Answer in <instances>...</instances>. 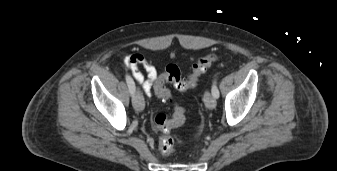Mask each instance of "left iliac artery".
I'll return each instance as SVG.
<instances>
[{"mask_svg": "<svg viewBox=\"0 0 337 171\" xmlns=\"http://www.w3.org/2000/svg\"><path fill=\"white\" fill-rule=\"evenodd\" d=\"M211 92H212V95L214 96V98H219V90L217 88L216 79L213 81Z\"/></svg>", "mask_w": 337, "mask_h": 171, "instance_id": "44dca946", "label": "left iliac artery"}]
</instances>
